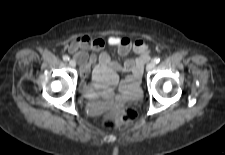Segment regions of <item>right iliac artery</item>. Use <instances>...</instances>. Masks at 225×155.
Instances as JSON below:
<instances>
[{"mask_svg": "<svg viewBox=\"0 0 225 155\" xmlns=\"http://www.w3.org/2000/svg\"><path fill=\"white\" fill-rule=\"evenodd\" d=\"M63 60H64V61H69V57H68L67 55H64V56H63Z\"/></svg>", "mask_w": 225, "mask_h": 155, "instance_id": "right-iliac-artery-1", "label": "right iliac artery"}]
</instances>
